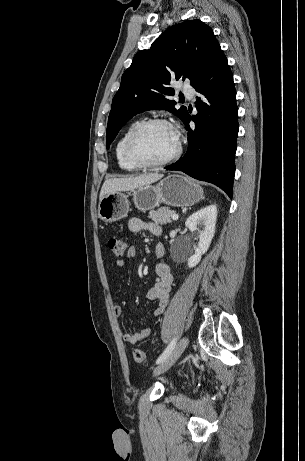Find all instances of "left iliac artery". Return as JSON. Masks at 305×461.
<instances>
[{
	"label": "left iliac artery",
	"mask_w": 305,
	"mask_h": 461,
	"mask_svg": "<svg viewBox=\"0 0 305 461\" xmlns=\"http://www.w3.org/2000/svg\"><path fill=\"white\" fill-rule=\"evenodd\" d=\"M175 345H176V338H174L170 342V344L167 346V348L164 350V352L159 356L156 363L157 364L162 363L170 355V353L174 349Z\"/></svg>",
	"instance_id": "44dca946"
}]
</instances>
